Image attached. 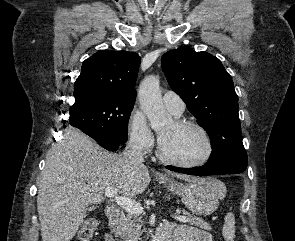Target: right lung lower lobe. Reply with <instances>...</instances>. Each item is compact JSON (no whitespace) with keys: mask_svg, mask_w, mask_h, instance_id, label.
Returning a JSON list of instances; mask_svg holds the SVG:
<instances>
[{"mask_svg":"<svg viewBox=\"0 0 295 241\" xmlns=\"http://www.w3.org/2000/svg\"><path fill=\"white\" fill-rule=\"evenodd\" d=\"M100 146H102L103 148L110 150V151H115L118 149L119 145H113V144H108V143H104V142H100L95 140Z\"/></svg>","mask_w":295,"mask_h":241,"instance_id":"obj_1","label":"right lung lower lobe"}]
</instances>
